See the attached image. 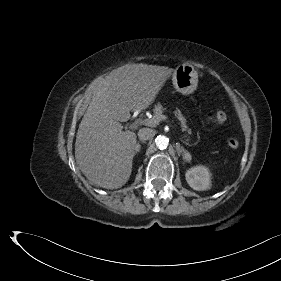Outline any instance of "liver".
Here are the masks:
<instances>
[{
    "instance_id": "obj_1",
    "label": "liver",
    "mask_w": 281,
    "mask_h": 281,
    "mask_svg": "<svg viewBox=\"0 0 281 281\" xmlns=\"http://www.w3.org/2000/svg\"><path fill=\"white\" fill-rule=\"evenodd\" d=\"M172 72L164 66L127 64L98 78L75 142L76 163L91 183L117 189L129 180L137 140L120 122L130 118V111L148 108Z\"/></svg>"
}]
</instances>
